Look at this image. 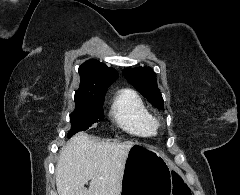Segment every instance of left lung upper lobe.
Segmentation results:
<instances>
[{"mask_svg": "<svg viewBox=\"0 0 240 195\" xmlns=\"http://www.w3.org/2000/svg\"><path fill=\"white\" fill-rule=\"evenodd\" d=\"M123 75L156 108L164 110V100L157 87L156 74L151 68H127L123 70Z\"/></svg>", "mask_w": 240, "mask_h": 195, "instance_id": "1", "label": "left lung upper lobe"}]
</instances>
